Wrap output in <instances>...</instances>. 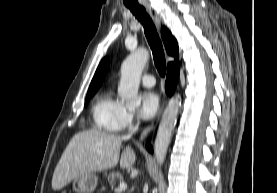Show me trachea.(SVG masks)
Returning <instances> with one entry per match:
<instances>
[{
    "mask_svg": "<svg viewBox=\"0 0 277 193\" xmlns=\"http://www.w3.org/2000/svg\"><path fill=\"white\" fill-rule=\"evenodd\" d=\"M130 11L135 15V17L141 22L144 27V33L147 38V41L152 50L153 59L155 66L159 72V74L163 77L166 73V60L164 55L163 46L161 40L158 36L156 27L147 14L144 7L135 5V6H127Z\"/></svg>",
    "mask_w": 277,
    "mask_h": 193,
    "instance_id": "trachea-1",
    "label": "trachea"
}]
</instances>
